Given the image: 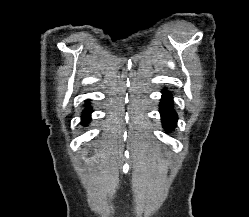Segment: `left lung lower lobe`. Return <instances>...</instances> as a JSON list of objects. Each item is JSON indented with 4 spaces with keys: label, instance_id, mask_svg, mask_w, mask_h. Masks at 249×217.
Segmentation results:
<instances>
[{
    "label": "left lung lower lobe",
    "instance_id": "left-lung-lower-lobe-1",
    "mask_svg": "<svg viewBox=\"0 0 249 217\" xmlns=\"http://www.w3.org/2000/svg\"><path fill=\"white\" fill-rule=\"evenodd\" d=\"M172 95L169 92H163V96L160 103V113L162 117V123L167 131H172L176 127L177 114L173 110Z\"/></svg>",
    "mask_w": 249,
    "mask_h": 217
}]
</instances>
